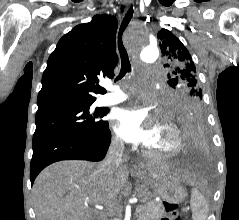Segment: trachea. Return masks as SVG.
<instances>
[{
  "label": "trachea",
  "mask_w": 239,
  "mask_h": 220,
  "mask_svg": "<svg viewBox=\"0 0 239 220\" xmlns=\"http://www.w3.org/2000/svg\"><path fill=\"white\" fill-rule=\"evenodd\" d=\"M132 16H133V6L131 5L129 7L127 13L125 14L124 20L121 24L119 34H118V49H119L120 57H121V71H120L119 75L117 76L116 80L121 79L122 77L125 76V74L127 72L131 71V64L129 61V57H128L127 51L122 43V34H123L125 28L127 27L128 23L132 19Z\"/></svg>",
  "instance_id": "trachea-1"
}]
</instances>
